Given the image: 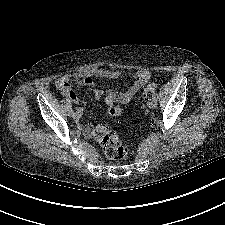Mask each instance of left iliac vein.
Here are the masks:
<instances>
[{"instance_id": "left-iliac-vein-1", "label": "left iliac vein", "mask_w": 225, "mask_h": 225, "mask_svg": "<svg viewBox=\"0 0 225 225\" xmlns=\"http://www.w3.org/2000/svg\"><path fill=\"white\" fill-rule=\"evenodd\" d=\"M149 107L151 109H155L157 107V100L152 98L151 101L149 102Z\"/></svg>"}]
</instances>
